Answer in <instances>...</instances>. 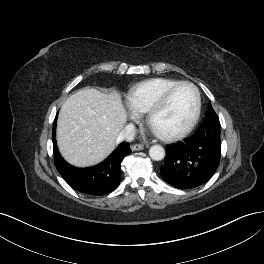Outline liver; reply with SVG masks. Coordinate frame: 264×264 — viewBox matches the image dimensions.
Listing matches in <instances>:
<instances>
[{
    "label": "liver",
    "mask_w": 264,
    "mask_h": 264,
    "mask_svg": "<svg viewBox=\"0 0 264 264\" xmlns=\"http://www.w3.org/2000/svg\"><path fill=\"white\" fill-rule=\"evenodd\" d=\"M127 121V113L116 91L94 88L77 91L63 103L57 121V144L70 164H97L116 147V138Z\"/></svg>",
    "instance_id": "1"
}]
</instances>
